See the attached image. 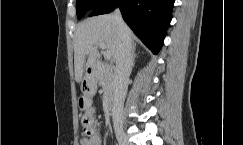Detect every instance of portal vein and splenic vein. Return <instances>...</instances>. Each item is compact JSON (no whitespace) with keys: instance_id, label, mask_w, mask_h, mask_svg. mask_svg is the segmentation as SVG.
<instances>
[{"instance_id":"obj_1","label":"portal vein and splenic vein","mask_w":243,"mask_h":145,"mask_svg":"<svg viewBox=\"0 0 243 145\" xmlns=\"http://www.w3.org/2000/svg\"><path fill=\"white\" fill-rule=\"evenodd\" d=\"M98 46L104 50L103 51V55L106 59H110L111 58V53L109 51L106 50V46L104 43H98Z\"/></svg>"}]
</instances>
